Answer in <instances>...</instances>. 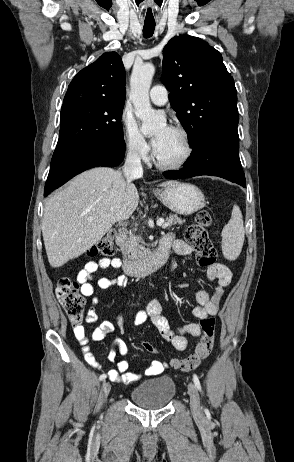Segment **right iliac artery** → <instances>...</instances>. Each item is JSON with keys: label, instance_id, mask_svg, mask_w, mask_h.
Here are the masks:
<instances>
[{"label": "right iliac artery", "instance_id": "obj_1", "mask_svg": "<svg viewBox=\"0 0 294 462\" xmlns=\"http://www.w3.org/2000/svg\"><path fill=\"white\" fill-rule=\"evenodd\" d=\"M106 377H107L106 374H102V375H100L99 380L100 381L105 380Z\"/></svg>", "mask_w": 294, "mask_h": 462}]
</instances>
